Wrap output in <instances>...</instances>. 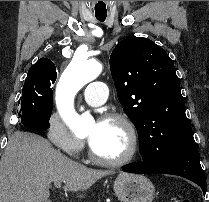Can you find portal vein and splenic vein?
Returning a JSON list of instances; mask_svg holds the SVG:
<instances>
[{
	"mask_svg": "<svg viewBox=\"0 0 209 202\" xmlns=\"http://www.w3.org/2000/svg\"><path fill=\"white\" fill-rule=\"evenodd\" d=\"M54 185H55L57 188H60V187H61V182H60V181H56V182H54Z\"/></svg>",
	"mask_w": 209,
	"mask_h": 202,
	"instance_id": "obj_1",
	"label": "portal vein and splenic vein"
}]
</instances>
